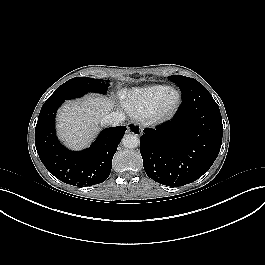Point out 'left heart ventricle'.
Segmentation results:
<instances>
[{
    "mask_svg": "<svg viewBox=\"0 0 265 265\" xmlns=\"http://www.w3.org/2000/svg\"><path fill=\"white\" fill-rule=\"evenodd\" d=\"M174 100V96H171L170 101L172 102Z\"/></svg>",
    "mask_w": 265,
    "mask_h": 265,
    "instance_id": "1",
    "label": "left heart ventricle"
}]
</instances>
